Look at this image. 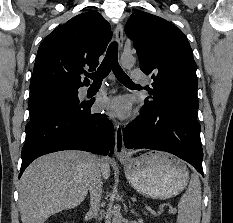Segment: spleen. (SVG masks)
Returning a JSON list of instances; mask_svg holds the SVG:
<instances>
[{
  "label": "spleen",
  "instance_id": "spleen-1",
  "mask_svg": "<svg viewBox=\"0 0 233 223\" xmlns=\"http://www.w3.org/2000/svg\"><path fill=\"white\" fill-rule=\"evenodd\" d=\"M201 185L197 173H192L188 189L178 203V223H200Z\"/></svg>",
  "mask_w": 233,
  "mask_h": 223
}]
</instances>
